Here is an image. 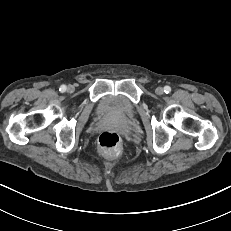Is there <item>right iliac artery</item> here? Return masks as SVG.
I'll list each match as a JSON object with an SVG mask.
<instances>
[{
  "mask_svg": "<svg viewBox=\"0 0 231 231\" xmlns=\"http://www.w3.org/2000/svg\"><path fill=\"white\" fill-rule=\"evenodd\" d=\"M66 89H67L66 85H61L59 88L61 93H64L66 91Z\"/></svg>",
  "mask_w": 231,
  "mask_h": 231,
  "instance_id": "obj_1",
  "label": "right iliac artery"
}]
</instances>
